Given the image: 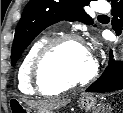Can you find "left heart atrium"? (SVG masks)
Returning <instances> with one entry per match:
<instances>
[{"label": "left heart atrium", "instance_id": "obj_1", "mask_svg": "<svg viewBox=\"0 0 123 113\" xmlns=\"http://www.w3.org/2000/svg\"><path fill=\"white\" fill-rule=\"evenodd\" d=\"M87 53L89 54V56L91 57V52L89 50H87Z\"/></svg>", "mask_w": 123, "mask_h": 113}]
</instances>
